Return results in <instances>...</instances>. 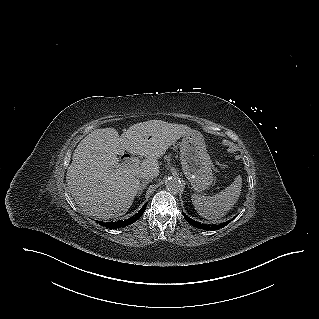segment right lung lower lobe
I'll use <instances>...</instances> for the list:
<instances>
[{"label":"right lung lower lobe","mask_w":319,"mask_h":319,"mask_svg":"<svg viewBox=\"0 0 319 319\" xmlns=\"http://www.w3.org/2000/svg\"><path fill=\"white\" fill-rule=\"evenodd\" d=\"M146 206H147V204H145L143 206V208L137 214H135L133 217H130L129 219H126L124 221L121 220V221H116V222H106V223L99 222V223L101 226H105L106 228H111V229L120 228V227L130 225V224L134 223L136 220H138L143 215Z\"/></svg>","instance_id":"1"}]
</instances>
